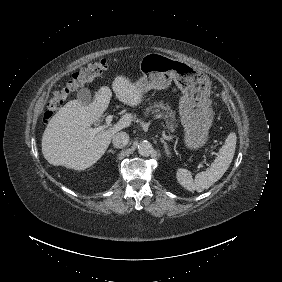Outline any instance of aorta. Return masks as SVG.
Returning <instances> with one entry per match:
<instances>
[{
	"instance_id": "obj_1",
	"label": "aorta",
	"mask_w": 282,
	"mask_h": 282,
	"mask_svg": "<svg viewBox=\"0 0 282 282\" xmlns=\"http://www.w3.org/2000/svg\"><path fill=\"white\" fill-rule=\"evenodd\" d=\"M153 150V147L149 141H142L138 144V153L141 156L148 157Z\"/></svg>"
}]
</instances>
